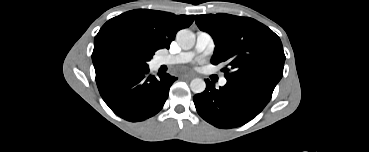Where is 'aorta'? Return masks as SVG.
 Returning a JSON list of instances; mask_svg holds the SVG:
<instances>
[{"mask_svg":"<svg viewBox=\"0 0 369 152\" xmlns=\"http://www.w3.org/2000/svg\"><path fill=\"white\" fill-rule=\"evenodd\" d=\"M176 40L183 49L188 50L195 44V34L188 29H181L176 35ZM190 88L196 94L202 93L206 88V83L203 79L195 78L191 81Z\"/></svg>","mask_w":369,"mask_h":152,"instance_id":"aorta-1","label":"aorta"}]
</instances>
